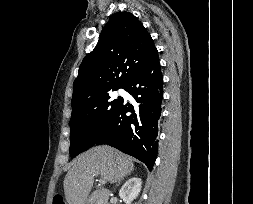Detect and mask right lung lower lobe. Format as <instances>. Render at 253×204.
<instances>
[{"mask_svg": "<svg viewBox=\"0 0 253 204\" xmlns=\"http://www.w3.org/2000/svg\"><path fill=\"white\" fill-rule=\"evenodd\" d=\"M163 78L155 49L123 87L136 103L122 100L115 116L95 144L108 145L144 162L151 171L157 157L158 119L161 115ZM130 112L131 115L126 114Z\"/></svg>", "mask_w": 253, "mask_h": 204, "instance_id": "1", "label": "right lung lower lobe"}]
</instances>
